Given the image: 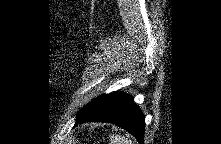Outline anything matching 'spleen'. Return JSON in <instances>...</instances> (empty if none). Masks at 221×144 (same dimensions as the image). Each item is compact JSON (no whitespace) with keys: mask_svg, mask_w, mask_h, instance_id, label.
Returning a JSON list of instances; mask_svg holds the SVG:
<instances>
[{"mask_svg":"<svg viewBox=\"0 0 221 144\" xmlns=\"http://www.w3.org/2000/svg\"><path fill=\"white\" fill-rule=\"evenodd\" d=\"M110 143L111 144H133V142L126 138L125 136L120 135H110Z\"/></svg>","mask_w":221,"mask_h":144,"instance_id":"spleen-1","label":"spleen"}]
</instances>
